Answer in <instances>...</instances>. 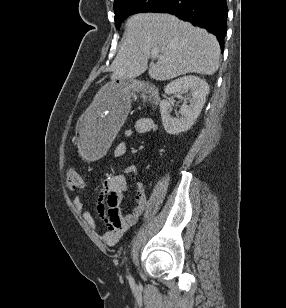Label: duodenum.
Segmentation results:
<instances>
[{
	"label": "duodenum",
	"mask_w": 286,
	"mask_h": 308,
	"mask_svg": "<svg viewBox=\"0 0 286 308\" xmlns=\"http://www.w3.org/2000/svg\"><path fill=\"white\" fill-rule=\"evenodd\" d=\"M136 91H145L149 95L152 108H155L159 101L158 88L149 82L140 81L134 85Z\"/></svg>",
	"instance_id": "duodenum-1"
}]
</instances>
